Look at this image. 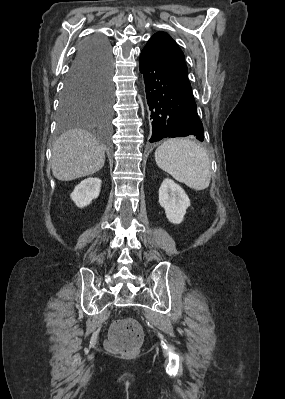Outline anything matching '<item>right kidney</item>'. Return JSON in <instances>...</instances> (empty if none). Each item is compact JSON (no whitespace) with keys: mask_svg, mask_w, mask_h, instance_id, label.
<instances>
[{"mask_svg":"<svg viewBox=\"0 0 285 399\" xmlns=\"http://www.w3.org/2000/svg\"><path fill=\"white\" fill-rule=\"evenodd\" d=\"M101 183V179L97 177L87 178L81 181V183L74 188L70 197L76 206L80 208L88 206L93 199H96L99 196Z\"/></svg>","mask_w":285,"mask_h":399,"instance_id":"obj_1","label":"right kidney"}]
</instances>
